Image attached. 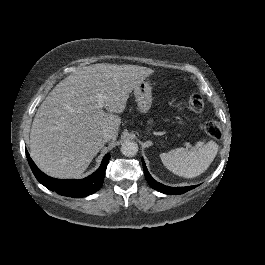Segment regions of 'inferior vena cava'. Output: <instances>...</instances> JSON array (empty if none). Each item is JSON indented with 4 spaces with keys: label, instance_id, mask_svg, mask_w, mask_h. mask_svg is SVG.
I'll return each mask as SVG.
<instances>
[{
    "label": "inferior vena cava",
    "instance_id": "602c4592",
    "mask_svg": "<svg viewBox=\"0 0 265 265\" xmlns=\"http://www.w3.org/2000/svg\"><path fill=\"white\" fill-rule=\"evenodd\" d=\"M114 134L112 131L105 130L103 131V139L104 141H109L113 138Z\"/></svg>",
    "mask_w": 265,
    "mask_h": 265
}]
</instances>
